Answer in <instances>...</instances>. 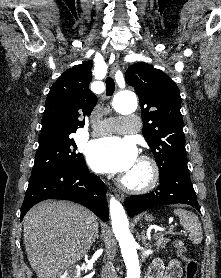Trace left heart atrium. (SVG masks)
Masks as SVG:
<instances>
[{"label": "left heart atrium", "mask_w": 221, "mask_h": 278, "mask_svg": "<svg viewBox=\"0 0 221 278\" xmlns=\"http://www.w3.org/2000/svg\"><path fill=\"white\" fill-rule=\"evenodd\" d=\"M89 166L99 173L125 174L137 159L135 144L119 137H104L91 141L86 149Z\"/></svg>", "instance_id": "39dd6f15"}]
</instances>
